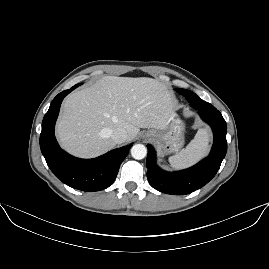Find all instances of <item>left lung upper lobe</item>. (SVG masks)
<instances>
[{
    "instance_id": "obj_1",
    "label": "left lung upper lobe",
    "mask_w": 269,
    "mask_h": 269,
    "mask_svg": "<svg viewBox=\"0 0 269 269\" xmlns=\"http://www.w3.org/2000/svg\"><path fill=\"white\" fill-rule=\"evenodd\" d=\"M179 94L183 95L186 97V99L191 103L193 107L196 106H203L206 107L208 106V102L203 101L200 99L195 93L189 90L185 89H177L176 90ZM210 104V103H209Z\"/></svg>"
}]
</instances>
